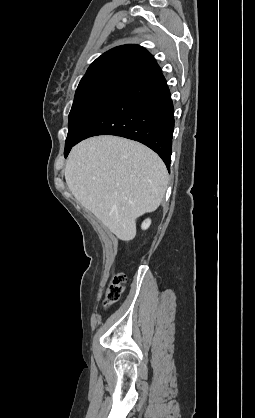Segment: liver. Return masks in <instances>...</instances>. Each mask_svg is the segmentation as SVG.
<instances>
[{
	"label": "liver",
	"instance_id": "obj_1",
	"mask_svg": "<svg viewBox=\"0 0 255 418\" xmlns=\"http://www.w3.org/2000/svg\"><path fill=\"white\" fill-rule=\"evenodd\" d=\"M65 179L72 195L120 240L136 235V219L155 211L168 185L160 157L141 143L97 136L76 145Z\"/></svg>",
	"mask_w": 255,
	"mask_h": 418
}]
</instances>
